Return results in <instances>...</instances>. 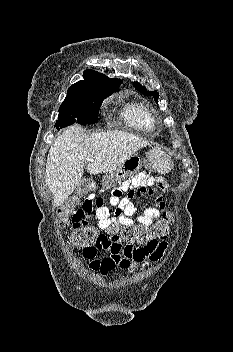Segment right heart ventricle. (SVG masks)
<instances>
[{
  "instance_id": "obj_1",
  "label": "right heart ventricle",
  "mask_w": 233,
  "mask_h": 352,
  "mask_svg": "<svg viewBox=\"0 0 233 352\" xmlns=\"http://www.w3.org/2000/svg\"><path fill=\"white\" fill-rule=\"evenodd\" d=\"M122 118L132 128L151 130L155 119L147 106L141 103L128 105L122 112Z\"/></svg>"
}]
</instances>
